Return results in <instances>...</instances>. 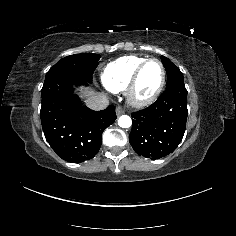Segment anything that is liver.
Wrapping results in <instances>:
<instances>
[{"mask_svg": "<svg viewBox=\"0 0 236 236\" xmlns=\"http://www.w3.org/2000/svg\"><path fill=\"white\" fill-rule=\"evenodd\" d=\"M78 86H79V83H72L71 84V89H72L73 93L80 92L79 97L82 100H85L90 95H93L96 92L92 88H90V89H79Z\"/></svg>", "mask_w": 236, "mask_h": 236, "instance_id": "1", "label": "liver"}]
</instances>
